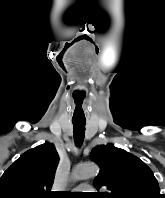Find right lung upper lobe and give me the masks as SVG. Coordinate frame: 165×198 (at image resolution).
<instances>
[{
    "instance_id": "1",
    "label": "right lung upper lobe",
    "mask_w": 165,
    "mask_h": 198,
    "mask_svg": "<svg viewBox=\"0 0 165 198\" xmlns=\"http://www.w3.org/2000/svg\"><path fill=\"white\" fill-rule=\"evenodd\" d=\"M58 163L52 143L28 150L0 178V198H51Z\"/></svg>"
}]
</instances>
